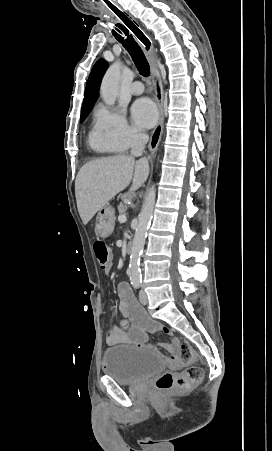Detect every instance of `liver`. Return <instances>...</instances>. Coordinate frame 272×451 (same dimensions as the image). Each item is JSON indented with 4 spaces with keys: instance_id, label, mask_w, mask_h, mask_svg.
<instances>
[{
    "instance_id": "liver-1",
    "label": "liver",
    "mask_w": 272,
    "mask_h": 451,
    "mask_svg": "<svg viewBox=\"0 0 272 451\" xmlns=\"http://www.w3.org/2000/svg\"><path fill=\"white\" fill-rule=\"evenodd\" d=\"M148 176L147 158L135 162L132 156H111L84 164L75 180L77 208L83 224L86 226L111 198L129 186L131 180L129 192L133 194Z\"/></svg>"
}]
</instances>
